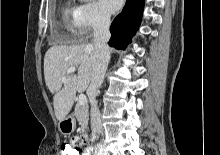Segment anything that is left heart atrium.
I'll list each match as a JSON object with an SVG mask.
<instances>
[{
    "instance_id": "1",
    "label": "left heart atrium",
    "mask_w": 220,
    "mask_h": 155,
    "mask_svg": "<svg viewBox=\"0 0 220 155\" xmlns=\"http://www.w3.org/2000/svg\"><path fill=\"white\" fill-rule=\"evenodd\" d=\"M99 2L102 8L109 13H115L123 4V0H99Z\"/></svg>"
}]
</instances>
